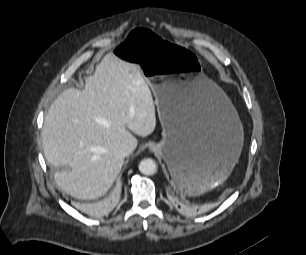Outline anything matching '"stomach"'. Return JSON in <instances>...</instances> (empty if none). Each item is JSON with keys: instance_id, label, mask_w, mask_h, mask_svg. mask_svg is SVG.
Masks as SVG:
<instances>
[{"instance_id": "1", "label": "stomach", "mask_w": 306, "mask_h": 255, "mask_svg": "<svg viewBox=\"0 0 306 255\" xmlns=\"http://www.w3.org/2000/svg\"><path fill=\"white\" fill-rule=\"evenodd\" d=\"M114 54L136 62L154 94L163 138L152 151L177 187L196 195L224 182L240 157L243 127L199 57L149 29L134 30Z\"/></svg>"}]
</instances>
